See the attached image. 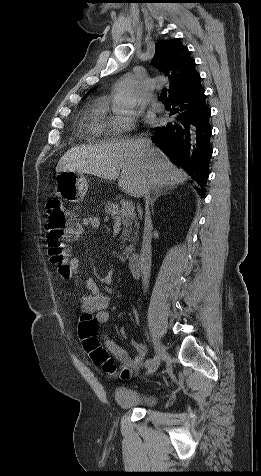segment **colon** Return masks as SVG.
<instances>
[{"label": "colon", "instance_id": "5ec220e1", "mask_svg": "<svg viewBox=\"0 0 261 476\" xmlns=\"http://www.w3.org/2000/svg\"><path fill=\"white\" fill-rule=\"evenodd\" d=\"M47 245L48 255L51 261L58 267L59 272L64 277L70 276V269L67 263L68 253L66 243L74 236L77 228V219L73 213L68 211L59 199H51L47 202ZM98 327L94 318L90 314H83L79 324V334L83 341L85 350L89 353L94 364L103 366L105 370L115 369L109 359L108 352L103 348L97 337ZM123 377L128 378L131 372L123 371Z\"/></svg>", "mask_w": 261, "mask_h": 476}]
</instances>
